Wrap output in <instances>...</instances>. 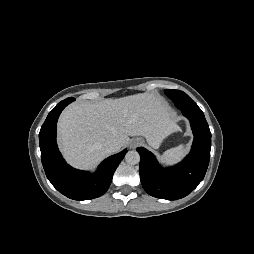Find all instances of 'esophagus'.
<instances>
[{"label":"esophagus","instance_id":"34e87169","mask_svg":"<svg viewBox=\"0 0 254 254\" xmlns=\"http://www.w3.org/2000/svg\"><path fill=\"white\" fill-rule=\"evenodd\" d=\"M141 141L139 139H134L130 142V147L131 148H136L138 145H140Z\"/></svg>","mask_w":254,"mask_h":254}]
</instances>
